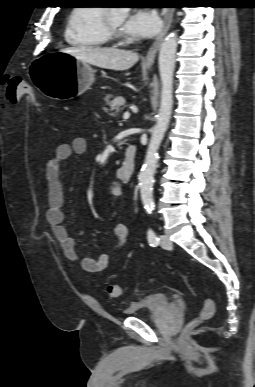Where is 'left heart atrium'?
<instances>
[{"label":"left heart atrium","mask_w":255,"mask_h":387,"mask_svg":"<svg viewBox=\"0 0 255 387\" xmlns=\"http://www.w3.org/2000/svg\"><path fill=\"white\" fill-rule=\"evenodd\" d=\"M161 27V19L155 11L139 9L128 17L122 29L135 37L151 38Z\"/></svg>","instance_id":"1"}]
</instances>
